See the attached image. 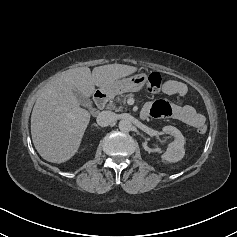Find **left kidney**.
I'll use <instances>...</instances> for the list:
<instances>
[{"mask_svg":"<svg viewBox=\"0 0 237 237\" xmlns=\"http://www.w3.org/2000/svg\"><path fill=\"white\" fill-rule=\"evenodd\" d=\"M163 133H171L174 136V141L169 144L168 150L161 156L162 160L168 162H178L185 155V138L176 127L165 126L162 129Z\"/></svg>","mask_w":237,"mask_h":237,"instance_id":"5707ae66","label":"left kidney"}]
</instances>
